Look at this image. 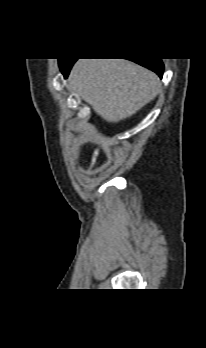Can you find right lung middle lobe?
Returning a JSON list of instances; mask_svg holds the SVG:
<instances>
[{
  "instance_id": "obj_1",
  "label": "right lung middle lobe",
  "mask_w": 206,
  "mask_h": 348,
  "mask_svg": "<svg viewBox=\"0 0 206 348\" xmlns=\"http://www.w3.org/2000/svg\"><path fill=\"white\" fill-rule=\"evenodd\" d=\"M63 61V59H59V64Z\"/></svg>"
}]
</instances>
